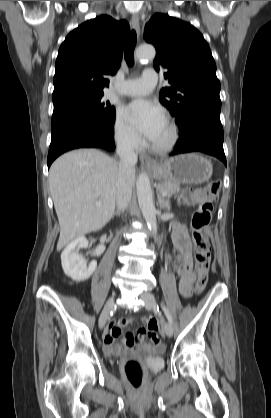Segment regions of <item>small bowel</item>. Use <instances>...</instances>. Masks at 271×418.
I'll list each match as a JSON object with an SVG mask.
<instances>
[{"label":"small bowel","mask_w":271,"mask_h":418,"mask_svg":"<svg viewBox=\"0 0 271 418\" xmlns=\"http://www.w3.org/2000/svg\"><path fill=\"white\" fill-rule=\"evenodd\" d=\"M173 241L176 248V265L180 276L179 291L184 298H188L193 293L195 276L192 272V244L184 225L176 224L174 226ZM132 321L131 318L123 317L108 325L103 336L104 349L107 353L119 354L124 349L135 352L162 349L160 343H154L151 340V346L145 343V337L149 336L148 329H139L136 334L129 332L123 338L121 345L116 344L115 340L121 335L122 329L130 325Z\"/></svg>","instance_id":"small-bowel-1"}]
</instances>
